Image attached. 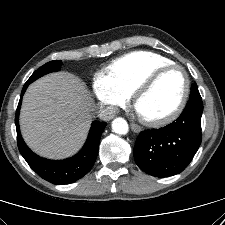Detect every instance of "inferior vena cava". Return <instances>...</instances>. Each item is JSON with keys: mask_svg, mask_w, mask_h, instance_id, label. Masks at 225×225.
<instances>
[{"mask_svg": "<svg viewBox=\"0 0 225 225\" xmlns=\"http://www.w3.org/2000/svg\"><path fill=\"white\" fill-rule=\"evenodd\" d=\"M117 112V107L115 106H101L98 116L101 119L109 120L113 118L114 114Z\"/></svg>", "mask_w": 225, "mask_h": 225, "instance_id": "602c4592", "label": "inferior vena cava"}]
</instances>
